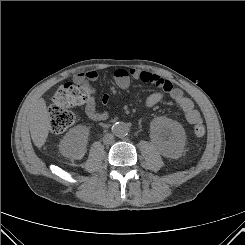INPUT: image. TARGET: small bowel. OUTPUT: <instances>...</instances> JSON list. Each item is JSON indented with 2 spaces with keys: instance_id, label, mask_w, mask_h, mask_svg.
Listing matches in <instances>:
<instances>
[{
  "instance_id": "obj_1",
  "label": "small bowel",
  "mask_w": 245,
  "mask_h": 245,
  "mask_svg": "<svg viewBox=\"0 0 245 245\" xmlns=\"http://www.w3.org/2000/svg\"><path fill=\"white\" fill-rule=\"evenodd\" d=\"M97 77L98 73L91 70L87 71L86 73L75 74L73 76V80L75 83L83 84L86 83L88 80H96ZM132 80L149 83L155 85L160 89V91L153 92L146 97L144 101V108H153L164 99H169L184 112L185 118L188 123L196 124L200 122L201 115L200 112L195 108L193 101L189 97H187L182 92V90L174 87L172 82H170L169 80L155 73L136 68H118L114 71V81L121 90L129 89ZM109 101L110 96L108 94H104L101 98V102L106 105L109 103ZM84 112L87 119L92 122L102 123L105 122L109 117V114L106 111H100L97 108L94 98H90L84 104Z\"/></svg>"
}]
</instances>
